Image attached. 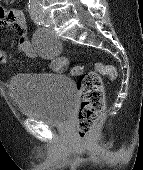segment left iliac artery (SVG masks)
<instances>
[{
	"label": "left iliac artery",
	"instance_id": "obj_1",
	"mask_svg": "<svg viewBox=\"0 0 143 170\" xmlns=\"http://www.w3.org/2000/svg\"><path fill=\"white\" fill-rule=\"evenodd\" d=\"M47 21H48V18L45 17V16L42 17V18H40V23H41L42 25L46 26V27H48Z\"/></svg>",
	"mask_w": 143,
	"mask_h": 170
}]
</instances>
